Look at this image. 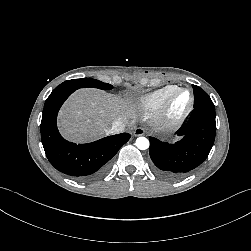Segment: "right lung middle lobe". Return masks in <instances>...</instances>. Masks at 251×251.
<instances>
[{"instance_id":"dd1d6c3e","label":"right lung middle lobe","mask_w":251,"mask_h":251,"mask_svg":"<svg viewBox=\"0 0 251 251\" xmlns=\"http://www.w3.org/2000/svg\"><path fill=\"white\" fill-rule=\"evenodd\" d=\"M85 87H94L102 90H110L113 88L112 85L103 83L101 81H98L96 79L91 78H82V79H72L63 82L59 86H57L54 90L58 89H74L77 90L79 88H85Z\"/></svg>"}]
</instances>
